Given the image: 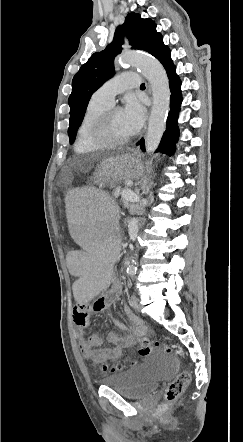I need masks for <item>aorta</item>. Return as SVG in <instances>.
<instances>
[{"label":"aorta","mask_w":243,"mask_h":442,"mask_svg":"<svg viewBox=\"0 0 243 442\" xmlns=\"http://www.w3.org/2000/svg\"><path fill=\"white\" fill-rule=\"evenodd\" d=\"M122 67H135L150 82L153 106L149 118L148 129L145 136V148L147 153H153L162 138L165 130L166 119L170 106L169 80L161 63L147 55L134 52H125L119 60ZM128 270L133 271L134 265L128 262Z\"/></svg>","instance_id":"obj_1"}]
</instances>
